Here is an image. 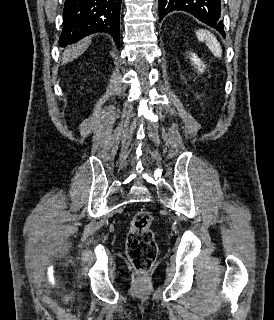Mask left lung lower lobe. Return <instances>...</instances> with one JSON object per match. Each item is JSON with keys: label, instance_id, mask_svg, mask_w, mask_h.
I'll use <instances>...</instances> for the list:
<instances>
[{"label": "left lung lower lobe", "instance_id": "obj_1", "mask_svg": "<svg viewBox=\"0 0 274 320\" xmlns=\"http://www.w3.org/2000/svg\"><path fill=\"white\" fill-rule=\"evenodd\" d=\"M221 0H159L160 21L172 11H186L200 21L215 28L223 37V21L221 18Z\"/></svg>", "mask_w": 274, "mask_h": 320}]
</instances>
